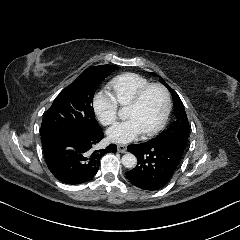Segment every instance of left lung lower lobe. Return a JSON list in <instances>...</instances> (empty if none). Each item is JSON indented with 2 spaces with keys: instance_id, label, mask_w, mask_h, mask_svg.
Listing matches in <instances>:
<instances>
[{
  "instance_id": "obj_1",
  "label": "left lung lower lobe",
  "mask_w": 240,
  "mask_h": 240,
  "mask_svg": "<svg viewBox=\"0 0 240 240\" xmlns=\"http://www.w3.org/2000/svg\"><path fill=\"white\" fill-rule=\"evenodd\" d=\"M186 145L175 140L148 141L132 144L127 151L137 157V166L126 172L129 181L143 190L164 187L176 171Z\"/></svg>"
}]
</instances>
